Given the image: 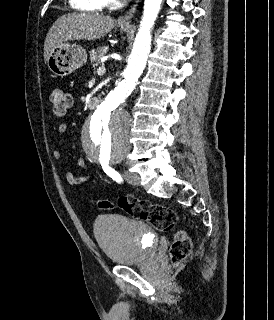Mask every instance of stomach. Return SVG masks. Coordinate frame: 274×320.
Here are the masks:
<instances>
[{
	"instance_id": "1",
	"label": "stomach",
	"mask_w": 274,
	"mask_h": 320,
	"mask_svg": "<svg viewBox=\"0 0 274 320\" xmlns=\"http://www.w3.org/2000/svg\"><path fill=\"white\" fill-rule=\"evenodd\" d=\"M121 32H127L130 26H118ZM87 62L86 50L81 46H71V44H63L60 48L53 50L50 58H48V68L54 76L65 78L72 74L74 70L82 68Z\"/></svg>"
}]
</instances>
